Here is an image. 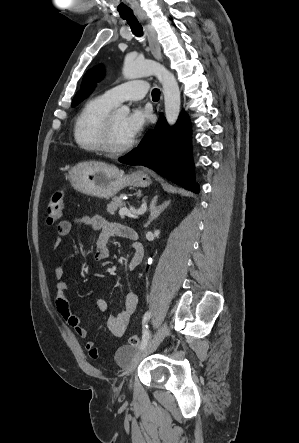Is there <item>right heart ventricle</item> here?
Listing matches in <instances>:
<instances>
[{"label": "right heart ventricle", "instance_id": "right-heart-ventricle-1", "mask_svg": "<svg viewBox=\"0 0 299 443\" xmlns=\"http://www.w3.org/2000/svg\"><path fill=\"white\" fill-rule=\"evenodd\" d=\"M115 105L105 95L90 99L78 114L73 129L74 141L86 152L99 153L101 135L106 117Z\"/></svg>", "mask_w": 299, "mask_h": 443}]
</instances>
